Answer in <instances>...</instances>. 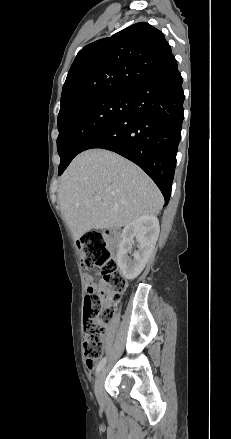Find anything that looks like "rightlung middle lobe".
I'll list each match as a JSON object with an SVG mask.
<instances>
[{
    "instance_id": "dd1d6c3e",
    "label": "right lung middle lobe",
    "mask_w": 231,
    "mask_h": 439,
    "mask_svg": "<svg viewBox=\"0 0 231 439\" xmlns=\"http://www.w3.org/2000/svg\"><path fill=\"white\" fill-rule=\"evenodd\" d=\"M133 106V94H107L86 99L58 115L59 172L64 171L81 147L98 131ZM58 172V173H59Z\"/></svg>"
}]
</instances>
